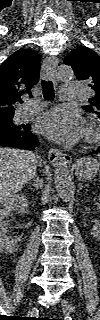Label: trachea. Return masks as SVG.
I'll return each mask as SVG.
<instances>
[{"label":"trachea","mask_w":100,"mask_h":320,"mask_svg":"<svg viewBox=\"0 0 100 320\" xmlns=\"http://www.w3.org/2000/svg\"><path fill=\"white\" fill-rule=\"evenodd\" d=\"M42 89H43V96L47 99H52L54 97V89L53 84L49 80H42Z\"/></svg>","instance_id":"obj_1"}]
</instances>
